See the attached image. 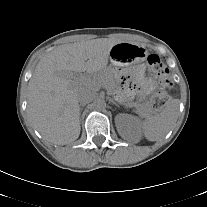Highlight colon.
<instances>
[{"instance_id":"colon-1","label":"colon","mask_w":207,"mask_h":207,"mask_svg":"<svg viewBox=\"0 0 207 207\" xmlns=\"http://www.w3.org/2000/svg\"><path fill=\"white\" fill-rule=\"evenodd\" d=\"M150 76L157 82L158 90L152 96V105L155 111L160 112L169 104L166 92L173 84L168 78V69L157 54H150L147 58Z\"/></svg>"}]
</instances>
